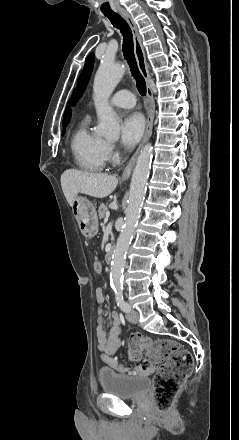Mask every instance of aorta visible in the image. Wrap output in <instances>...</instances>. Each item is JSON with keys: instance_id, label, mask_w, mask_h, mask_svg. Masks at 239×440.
Returning a JSON list of instances; mask_svg holds the SVG:
<instances>
[{"instance_id": "1", "label": "aorta", "mask_w": 239, "mask_h": 440, "mask_svg": "<svg viewBox=\"0 0 239 440\" xmlns=\"http://www.w3.org/2000/svg\"><path fill=\"white\" fill-rule=\"evenodd\" d=\"M125 68L118 66L109 60L101 62L94 78L93 100L96 114L100 118L99 126H96V134L104 136L105 140H119V118L113 108L108 104V98L114 92L117 84L123 78ZM152 148L147 144L141 150L136 166L133 170L129 202L126 208V220L123 230L117 240L116 248L112 256L110 282L116 290H122V276L126 262L127 250L130 246L135 226L140 216L147 178L149 176Z\"/></svg>"}]
</instances>
